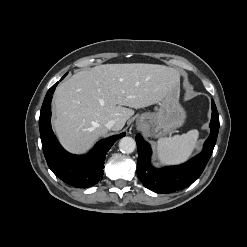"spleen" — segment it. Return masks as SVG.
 I'll use <instances>...</instances> for the list:
<instances>
[{"label":"spleen","mask_w":247,"mask_h":247,"mask_svg":"<svg viewBox=\"0 0 247 247\" xmlns=\"http://www.w3.org/2000/svg\"><path fill=\"white\" fill-rule=\"evenodd\" d=\"M199 132L197 129L182 135L160 138L157 141V156L162 164L185 162L196 148Z\"/></svg>","instance_id":"obj_1"}]
</instances>
